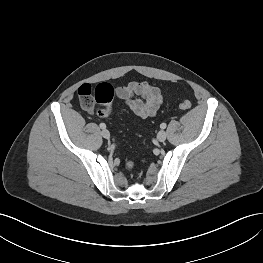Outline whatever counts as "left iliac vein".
I'll list each match as a JSON object with an SVG mask.
<instances>
[{
    "label": "left iliac vein",
    "mask_w": 263,
    "mask_h": 263,
    "mask_svg": "<svg viewBox=\"0 0 263 263\" xmlns=\"http://www.w3.org/2000/svg\"><path fill=\"white\" fill-rule=\"evenodd\" d=\"M166 138H167L166 132L163 130L159 131V133L157 134L158 141L163 142L166 140Z\"/></svg>",
    "instance_id": "left-iliac-vein-1"
}]
</instances>
